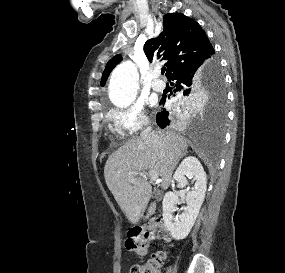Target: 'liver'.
<instances>
[{
  "label": "liver",
  "instance_id": "liver-1",
  "mask_svg": "<svg viewBox=\"0 0 285 273\" xmlns=\"http://www.w3.org/2000/svg\"><path fill=\"white\" fill-rule=\"evenodd\" d=\"M159 145L141 137L127 141L112 153L104 167L106 184L125 215L134 221L146 210L152 195L147 177L134 176L135 171H155L161 178V188L166 190L172 180L173 170L187 152L188 141L174 132H159Z\"/></svg>",
  "mask_w": 285,
  "mask_h": 273
}]
</instances>
